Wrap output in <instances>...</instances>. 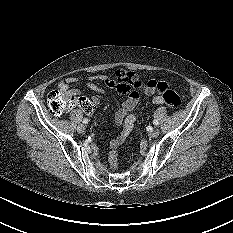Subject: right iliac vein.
<instances>
[{"label": "right iliac vein", "instance_id": "obj_1", "mask_svg": "<svg viewBox=\"0 0 233 233\" xmlns=\"http://www.w3.org/2000/svg\"><path fill=\"white\" fill-rule=\"evenodd\" d=\"M86 127L85 125L81 124L77 127V131L81 134L85 133Z\"/></svg>", "mask_w": 233, "mask_h": 233}]
</instances>
